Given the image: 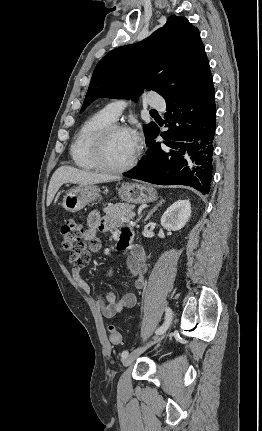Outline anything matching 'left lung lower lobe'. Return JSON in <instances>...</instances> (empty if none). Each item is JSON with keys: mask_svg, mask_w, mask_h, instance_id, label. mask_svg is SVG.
Masks as SVG:
<instances>
[{"mask_svg": "<svg viewBox=\"0 0 262 431\" xmlns=\"http://www.w3.org/2000/svg\"><path fill=\"white\" fill-rule=\"evenodd\" d=\"M166 105L169 129L161 133L164 141H154L160 131L157 126L138 166L123 175L158 185H186L207 194L216 129L213 78Z\"/></svg>", "mask_w": 262, "mask_h": 431, "instance_id": "1", "label": "left lung lower lobe"}]
</instances>
